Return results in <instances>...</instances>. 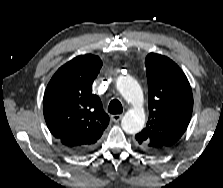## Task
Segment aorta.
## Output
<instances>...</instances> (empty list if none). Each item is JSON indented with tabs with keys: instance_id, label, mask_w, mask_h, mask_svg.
Here are the masks:
<instances>
[{
	"instance_id": "762f6f07",
	"label": "aorta",
	"mask_w": 223,
	"mask_h": 188,
	"mask_svg": "<svg viewBox=\"0 0 223 188\" xmlns=\"http://www.w3.org/2000/svg\"><path fill=\"white\" fill-rule=\"evenodd\" d=\"M116 87L123 98L133 106L122 118V129L129 134L140 132L145 124V112L142 107L144 97L138 82L131 76H119Z\"/></svg>"
}]
</instances>
